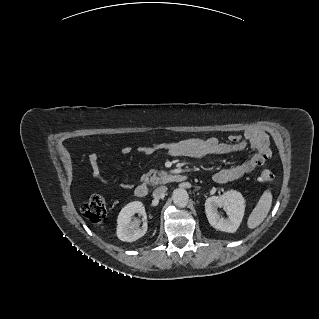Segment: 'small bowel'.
Returning a JSON list of instances; mask_svg holds the SVG:
<instances>
[{
	"instance_id": "small-bowel-1",
	"label": "small bowel",
	"mask_w": 319,
	"mask_h": 319,
	"mask_svg": "<svg viewBox=\"0 0 319 319\" xmlns=\"http://www.w3.org/2000/svg\"><path fill=\"white\" fill-rule=\"evenodd\" d=\"M267 144V136L264 132L249 131L245 137L231 135L227 142H223L215 137L192 138L169 143H154L140 147L139 151L145 156H151L158 150L166 151L173 157H187L202 159L209 156L225 155L241 152L246 148L255 151L254 155L244 162L233 165L217 171L213 175V180L217 183H226L237 180L243 175L253 172L256 168L262 166L267 158L261 153V148ZM132 149L129 146L122 148L123 155L131 154ZM92 177L98 181L105 182L101 167L98 161V155L93 153L89 156ZM122 188L131 187L129 182H121Z\"/></svg>"
}]
</instances>
